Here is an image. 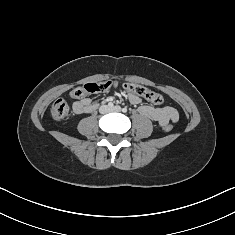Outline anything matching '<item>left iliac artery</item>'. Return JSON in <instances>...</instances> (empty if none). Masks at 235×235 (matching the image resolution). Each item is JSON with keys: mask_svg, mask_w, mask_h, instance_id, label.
<instances>
[{"mask_svg": "<svg viewBox=\"0 0 235 235\" xmlns=\"http://www.w3.org/2000/svg\"><path fill=\"white\" fill-rule=\"evenodd\" d=\"M122 111H123L124 113H126V112H127V108H123Z\"/></svg>", "mask_w": 235, "mask_h": 235, "instance_id": "left-iliac-artery-1", "label": "left iliac artery"}]
</instances>
